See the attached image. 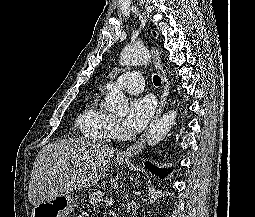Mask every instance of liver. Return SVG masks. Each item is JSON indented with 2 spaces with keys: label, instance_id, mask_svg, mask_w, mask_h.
Here are the masks:
<instances>
[{
  "label": "liver",
  "instance_id": "6515ba94",
  "mask_svg": "<svg viewBox=\"0 0 255 217\" xmlns=\"http://www.w3.org/2000/svg\"><path fill=\"white\" fill-rule=\"evenodd\" d=\"M114 148L83 138L44 146L36 156L28 198L36 206L56 196L92 186L106 176Z\"/></svg>",
  "mask_w": 255,
  "mask_h": 217
}]
</instances>
